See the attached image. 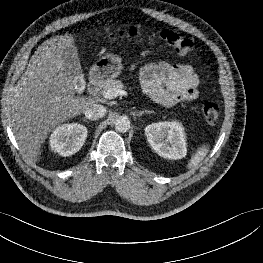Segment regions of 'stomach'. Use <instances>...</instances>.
<instances>
[{"instance_id":"1","label":"stomach","mask_w":263,"mask_h":263,"mask_svg":"<svg viewBox=\"0 0 263 263\" xmlns=\"http://www.w3.org/2000/svg\"><path fill=\"white\" fill-rule=\"evenodd\" d=\"M121 59L109 54L97 60L91 67L89 78L95 83H103L118 77L122 70Z\"/></svg>"}]
</instances>
